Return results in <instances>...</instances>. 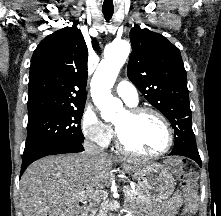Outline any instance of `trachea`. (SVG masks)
I'll return each instance as SVG.
<instances>
[{
    "label": "trachea",
    "mask_w": 221,
    "mask_h": 216,
    "mask_svg": "<svg viewBox=\"0 0 221 216\" xmlns=\"http://www.w3.org/2000/svg\"><path fill=\"white\" fill-rule=\"evenodd\" d=\"M102 12L104 14L106 21H109L112 18L114 11L113 10H103Z\"/></svg>",
    "instance_id": "trachea-1"
}]
</instances>
